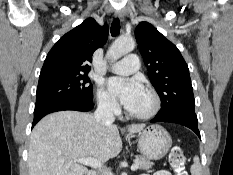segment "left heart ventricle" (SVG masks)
Masks as SVG:
<instances>
[{
    "label": "left heart ventricle",
    "instance_id": "obj_1",
    "mask_svg": "<svg viewBox=\"0 0 233 175\" xmlns=\"http://www.w3.org/2000/svg\"><path fill=\"white\" fill-rule=\"evenodd\" d=\"M151 104L152 102L150 97L145 92H143L139 99L127 109L133 113H140L148 110Z\"/></svg>",
    "mask_w": 233,
    "mask_h": 175
}]
</instances>
